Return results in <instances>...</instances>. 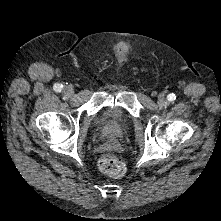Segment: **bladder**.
Segmentation results:
<instances>
[{"label": "bladder", "mask_w": 221, "mask_h": 221, "mask_svg": "<svg viewBox=\"0 0 221 221\" xmlns=\"http://www.w3.org/2000/svg\"><path fill=\"white\" fill-rule=\"evenodd\" d=\"M126 120L115 109L105 110L97 119V127L105 133H119L126 127Z\"/></svg>", "instance_id": "obj_1"}]
</instances>
